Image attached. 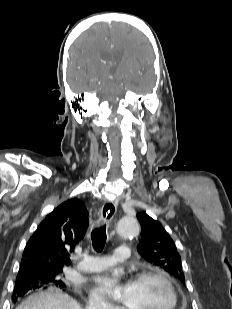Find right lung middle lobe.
Segmentation results:
<instances>
[{
    "mask_svg": "<svg viewBox=\"0 0 232 309\" xmlns=\"http://www.w3.org/2000/svg\"><path fill=\"white\" fill-rule=\"evenodd\" d=\"M61 271L62 270L39 271L35 274L29 271L20 270L15 285L38 282L42 288L47 286L63 287L64 283L59 278Z\"/></svg>",
    "mask_w": 232,
    "mask_h": 309,
    "instance_id": "1",
    "label": "right lung middle lobe"
}]
</instances>
